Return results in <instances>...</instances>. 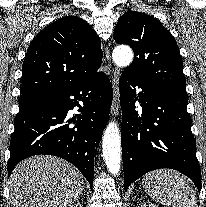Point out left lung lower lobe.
Here are the masks:
<instances>
[{
	"mask_svg": "<svg viewBox=\"0 0 206 207\" xmlns=\"http://www.w3.org/2000/svg\"><path fill=\"white\" fill-rule=\"evenodd\" d=\"M136 87L141 89L138 94ZM119 91L125 190L149 171L170 168L191 178L200 191V166L186 109L187 94L149 85L125 74L120 77ZM137 100L141 103V115L135 110Z\"/></svg>",
	"mask_w": 206,
	"mask_h": 207,
	"instance_id": "obj_1",
	"label": "left lung lower lobe"
}]
</instances>
